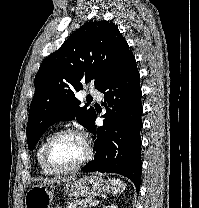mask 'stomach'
I'll return each instance as SVG.
<instances>
[{
	"mask_svg": "<svg viewBox=\"0 0 199 208\" xmlns=\"http://www.w3.org/2000/svg\"><path fill=\"white\" fill-rule=\"evenodd\" d=\"M64 191L68 197H95L110 191L109 183L99 176L90 175L67 182ZM55 192L47 185H36L25 195V208H51ZM59 208V207H56Z\"/></svg>",
	"mask_w": 199,
	"mask_h": 208,
	"instance_id": "obj_1",
	"label": "stomach"
}]
</instances>
